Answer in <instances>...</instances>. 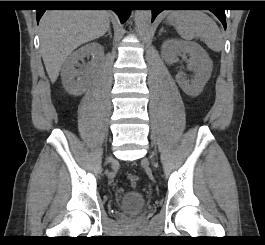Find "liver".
<instances>
[{
    "label": "liver",
    "mask_w": 265,
    "mask_h": 245,
    "mask_svg": "<svg viewBox=\"0 0 265 245\" xmlns=\"http://www.w3.org/2000/svg\"><path fill=\"white\" fill-rule=\"evenodd\" d=\"M105 10H50L39 24L41 54L52 83L62 65L80 45L102 37L110 27Z\"/></svg>",
    "instance_id": "liver-1"
}]
</instances>
